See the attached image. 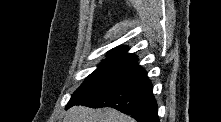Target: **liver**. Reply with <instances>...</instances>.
Listing matches in <instances>:
<instances>
[{"label": "liver", "instance_id": "6515ba94", "mask_svg": "<svg viewBox=\"0 0 221 122\" xmlns=\"http://www.w3.org/2000/svg\"><path fill=\"white\" fill-rule=\"evenodd\" d=\"M63 122H135L133 118L112 108L93 109L85 106L70 108Z\"/></svg>", "mask_w": 221, "mask_h": 122}]
</instances>
